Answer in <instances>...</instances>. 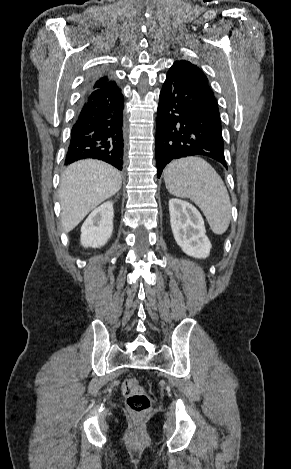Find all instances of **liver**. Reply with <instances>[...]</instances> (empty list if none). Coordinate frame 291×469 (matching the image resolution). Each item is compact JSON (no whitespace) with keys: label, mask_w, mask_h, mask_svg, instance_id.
Segmentation results:
<instances>
[{"label":"liver","mask_w":291,"mask_h":469,"mask_svg":"<svg viewBox=\"0 0 291 469\" xmlns=\"http://www.w3.org/2000/svg\"><path fill=\"white\" fill-rule=\"evenodd\" d=\"M121 184L119 171L101 161L81 160L67 167L59 190L64 231L73 230L90 211L117 193Z\"/></svg>","instance_id":"1"}]
</instances>
